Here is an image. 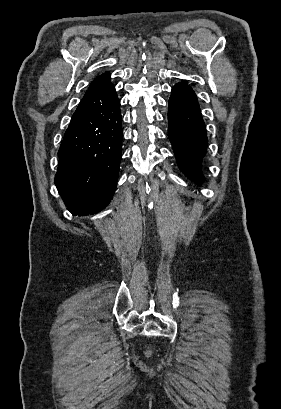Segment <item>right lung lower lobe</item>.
I'll list each match as a JSON object with an SVG mask.
<instances>
[{
  "instance_id": "obj_1",
  "label": "right lung lower lobe",
  "mask_w": 281,
  "mask_h": 409,
  "mask_svg": "<svg viewBox=\"0 0 281 409\" xmlns=\"http://www.w3.org/2000/svg\"><path fill=\"white\" fill-rule=\"evenodd\" d=\"M120 102L109 74L95 79L74 112L58 151L55 185L73 215L109 204L121 160Z\"/></svg>"
}]
</instances>
